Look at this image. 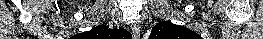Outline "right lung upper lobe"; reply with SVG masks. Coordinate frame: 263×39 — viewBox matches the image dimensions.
Segmentation results:
<instances>
[{"label":"right lung upper lobe","mask_w":263,"mask_h":39,"mask_svg":"<svg viewBox=\"0 0 263 39\" xmlns=\"http://www.w3.org/2000/svg\"><path fill=\"white\" fill-rule=\"evenodd\" d=\"M130 33L126 30H112L108 26L99 25L92 30L83 33L84 39L93 38H108V39H122L124 36H128Z\"/></svg>","instance_id":"1"}]
</instances>
